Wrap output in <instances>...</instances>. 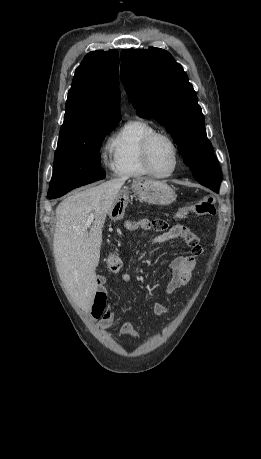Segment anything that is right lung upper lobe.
Listing matches in <instances>:
<instances>
[{
  "instance_id": "right-lung-upper-lobe-1",
  "label": "right lung upper lobe",
  "mask_w": 261,
  "mask_h": 459,
  "mask_svg": "<svg viewBox=\"0 0 261 459\" xmlns=\"http://www.w3.org/2000/svg\"><path fill=\"white\" fill-rule=\"evenodd\" d=\"M119 53L92 51L75 70L68 92L59 140L101 124L118 123L120 116Z\"/></svg>"
}]
</instances>
